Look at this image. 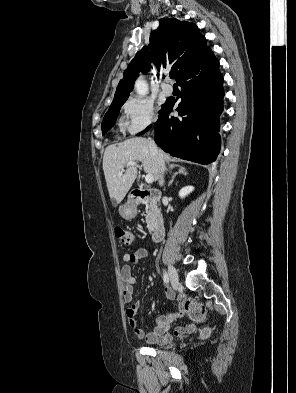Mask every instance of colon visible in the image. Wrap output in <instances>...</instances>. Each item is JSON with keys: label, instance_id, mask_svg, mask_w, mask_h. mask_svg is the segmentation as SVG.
I'll list each match as a JSON object with an SVG mask.
<instances>
[{"label": "colon", "instance_id": "colon-1", "mask_svg": "<svg viewBox=\"0 0 296 393\" xmlns=\"http://www.w3.org/2000/svg\"><path fill=\"white\" fill-rule=\"evenodd\" d=\"M114 234L117 239H119L123 244L129 245L133 241V235L132 233L124 228L121 227H116L114 229ZM183 307L185 311L188 313V315L196 320V321H203L206 318V310L205 308L195 301L194 299H185L183 302ZM209 329H205L203 331V335H208Z\"/></svg>", "mask_w": 296, "mask_h": 393}]
</instances>
